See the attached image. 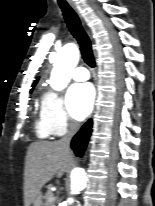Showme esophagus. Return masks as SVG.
Segmentation results:
<instances>
[{"label": "esophagus", "mask_w": 155, "mask_h": 206, "mask_svg": "<svg viewBox=\"0 0 155 206\" xmlns=\"http://www.w3.org/2000/svg\"><path fill=\"white\" fill-rule=\"evenodd\" d=\"M67 1H68L69 5L71 6V8H72V9L75 11V13L79 16V18H80L81 21H82V24L84 25L82 16H81V14H80V12H79V9H78V6H77L72 0H67ZM87 33L90 34L88 30H87Z\"/></svg>", "instance_id": "34e87169"}]
</instances>
